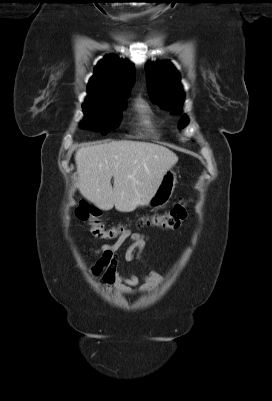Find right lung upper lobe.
Listing matches in <instances>:
<instances>
[{
  "instance_id": "obj_1",
  "label": "right lung upper lobe",
  "mask_w": 272,
  "mask_h": 401,
  "mask_svg": "<svg viewBox=\"0 0 272 401\" xmlns=\"http://www.w3.org/2000/svg\"><path fill=\"white\" fill-rule=\"evenodd\" d=\"M135 81V68L127 60L115 55L105 56L94 70L86 99L97 96L129 93Z\"/></svg>"
}]
</instances>
